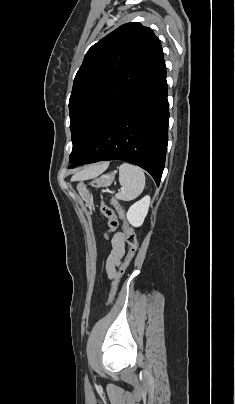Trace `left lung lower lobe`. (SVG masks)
Segmentation results:
<instances>
[{"label": "left lung lower lobe", "mask_w": 235, "mask_h": 404, "mask_svg": "<svg viewBox=\"0 0 235 404\" xmlns=\"http://www.w3.org/2000/svg\"><path fill=\"white\" fill-rule=\"evenodd\" d=\"M168 119L163 59L121 102L88 149L69 168L125 160L148 171L159 186L165 165Z\"/></svg>", "instance_id": "1"}]
</instances>
